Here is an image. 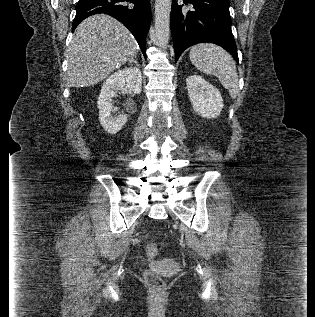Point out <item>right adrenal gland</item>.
Returning <instances> with one entry per match:
<instances>
[{
	"label": "right adrenal gland",
	"mask_w": 315,
	"mask_h": 317,
	"mask_svg": "<svg viewBox=\"0 0 315 317\" xmlns=\"http://www.w3.org/2000/svg\"><path fill=\"white\" fill-rule=\"evenodd\" d=\"M128 62H129V63H132V62H133V63L136 64L137 67H139V63L135 60V56L129 58V59H128Z\"/></svg>",
	"instance_id": "right-adrenal-gland-1"
}]
</instances>
